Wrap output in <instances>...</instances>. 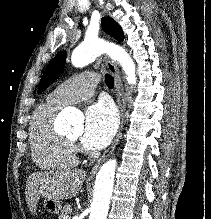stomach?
Masks as SVG:
<instances>
[{
    "mask_svg": "<svg viewBox=\"0 0 211 219\" xmlns=\"http://www.w3.org/2000/svg\"><path fill=\"white\" fill-rule=\"evenodd\" d=\"M42 204L46 211L51 214H59V212L62 210V204L59 200L43 198Z\"/></svg>",
    "mask_w": 211,
    "mask_h": 219,
    "instance_id": "0dacf381",
    "label": "stomach"
}]
</instances>
